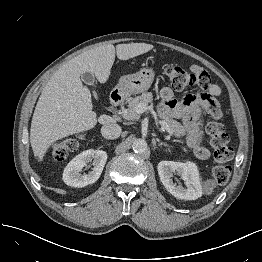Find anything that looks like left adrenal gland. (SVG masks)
<instances>
[{
    "label": "left adrenal gland",
    "mask_w": 262,
    "mask_h": 262,
    "mask_svg": "<svg viewBox=\"0 0 262 262\" xmlns=\"http://www.w3.org/2000/svg\"><path fill=\"white\" fill-rule=\"evenodd\" d=\"M157 142H158V146H160V147H161V146L169 147V146H168L167 144H165V143H160L159 140H157Z\"/></svg>",
    "instance_id": "a2214340"
}]
</instances>
